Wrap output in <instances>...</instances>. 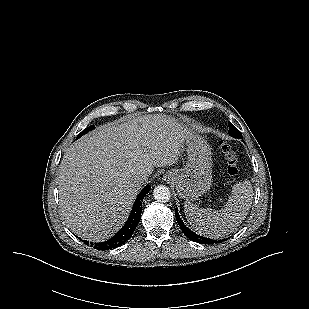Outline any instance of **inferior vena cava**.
<instances>
[{
  "instance_id": "inferior-vena-cava-1",
  "label": "inferior vena cava",
  "mask_w": 309,
  "mask_h": 309,
  "mask_svg": "<svg viewBox=\"0 0 309 309\" xmlns=\"http://www.w3.org/2000/svg\"><path fill=\"white\" fill-rule=\"evenodd\" d=\"M147 181V178L145 175H137L133 178V183L137 186H141L143 184H145Z\"/></svg>"
}]
</instances>
